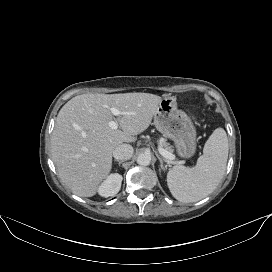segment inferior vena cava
Instances as JSON below:
<instances>
[{"label": "inferior vena cava", "instance_id": "inferior-vena-cava-1", "mask_svg": "<svg viewBox=\"0 0 272 272\" xmlns=\"http://www.w3.org/2000/svg\"><path fill=\"white\" fill-rule=\"evenodd\" d=\"M133 155V147L129 144H121L113 151V157L116 160H128Z\"/></svg>", "mask_w": 272, "mask_h": 272}]
</instances>
